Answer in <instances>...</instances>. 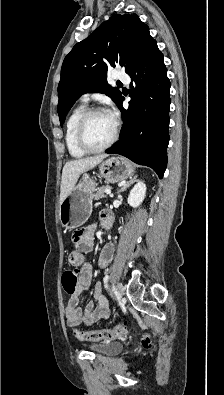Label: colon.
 I'll return each mask as SVG.
<instances>
[{
	"label": "colon",
	"mask_w": 224,
	"mask_h": 395,
	"mask_svg": "<svg viewBox=\"0 0 224 395\" xmlns=\"http://www.w3.org/2000/svg\"><path fill=\"white\" fill-rule=\"evenodd\" d=\"M63 288L68 294H73L77 288V275L73 270H67L63 274ZM126 330V325L119 322L110 328L94 329V330H75L74 335L81 341H107L121 337ZM146 346L151 344L150 339L144 337Z\"/></svg>",
	"instance_id": "5ec220e1"
}]
</instances>
